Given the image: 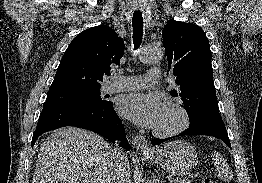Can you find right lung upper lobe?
I'll return each instance as SVG.
<instances>
[{"instance_id":"right-lung-upper-lobe-1","label":"right lung upper lobe","mask_w":262,"mask_h":183,"mask_svg":"<svg viewBox=\"0 0 262 183\" xmlns=\"http://www.w3.org/2000/svg\"><path fill=\"white\" fill-rule=\"evenodd\" d=\"M123 54L124 42L109 26L84 30L66 49L48 92L101 88L103 75Z\"/></svg>"}]
</instances>
